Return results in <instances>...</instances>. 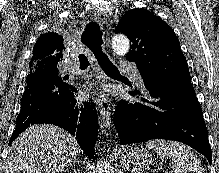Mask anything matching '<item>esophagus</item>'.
Instances as JSON below:
<instances>
[{"instance_id":"34e87169","label":"esophagus","mask_w":219,"mask_h":173,"mask_svg":"<svg viewBox=\"0 0 219 173\" xmlns=\"http://www.w3.org/2000/svg\"><path fill=\"white\" fill-rule=\"evenodd\" d=\"M94 17L100 24H105L107 22V16L104 12L96 11L94 12ZM95 103L100 111L103 126H110L112 112L108 96L103 91H100L98 97L95 99Z\"/></svg>"}]
</instances>
